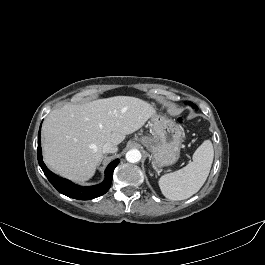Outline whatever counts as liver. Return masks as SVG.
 Instances as JSON below:
<instances>
[{
	"instance_id": "liver-1",
	"label": "liver",
	"mask_w": 265,
	"mask_h": 265,
	"mask_svg": "<svg viewBox=\"0 0 265 265\" xmlns=\"http://www.w3.org/2000/svg\"><path fill=\"white\" fill-rule=\"evenodd\" d=\"M155 115L152 105L131 96L66 104L43 123L44 162L61 176L85 182L94 175L105 143L117 146Z\"/></svg>"
}]
</instances>
